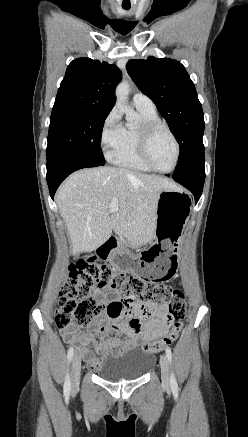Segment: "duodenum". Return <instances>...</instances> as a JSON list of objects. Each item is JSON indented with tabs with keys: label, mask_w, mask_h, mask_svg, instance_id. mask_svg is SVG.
Returning a JSON list of instances; mask_svg holds the SVG:
<instances>
[{
	"label": "duodenum",
	"mask_w": 248,
	"mask_h": 437,
	"mask_svg": "<svg viewBox=\"0 0 248 437\" xmlns=\"http://www.w3.org/2000/svg\"><path fill=\"white\" fill-rule=\"evenodd\" d=\"M119 246V241L115 236H110L99 248L90 250V255L95 257H106L111 251Z\"/></svg>",
	"instance_id": "duodenum-1"
}]
</instances>
